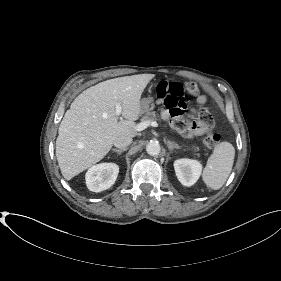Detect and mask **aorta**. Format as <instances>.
Instances as JSON below:
<instances>
[{
  "label": "aorta",
  "mask_w": 281,
  "mask_h": 281,
  "mask_svg": "<svg viewBox=\"0 0 281 281\" xmlns=\"http://www.w3.org/2000/svg\"><path fill=\"white\" fill-rule=\"evenodd\" d=\"M146 151L151 156L159 155L161 151L160 144L158 142L151 141L147 144Z\"/></svg>",
  "instance_id": "obj_1"
}]
</instances>
